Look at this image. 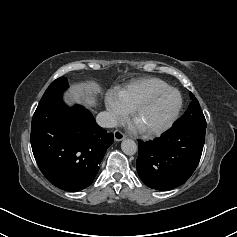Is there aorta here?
<instances>
[{
    "label": "aorta",
    "instance_id": "obj_1",
    "mask_svg": "<svg viewBox=\"0 0 237 237\" xmlns=\"http://www.w3.org/2000/svg\"><path fill=\"white\" fill-rule=\"evenodd\" d=\"M121 149L126 155H134L138 147L132 139H124L121 143Z\"/></svg>",
    "mask_w": 237,
    "mask_h": 237
}]
</instances>
